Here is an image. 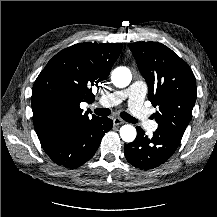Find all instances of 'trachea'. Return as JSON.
Wrapping results in <instances>:
<instances>
[{"mask_svg":"<svg viewBox=\"0 0 217 217\" xmlns=\"http://www.w3.org/2000/svg\"><path fill=\"white\" fill-rule=\"evenodd\" d=\"M94 112L96 115L102 116V117H106V116L110 115V113H111L110 109H108V108H97L94 110ZM121 117L125 121L130 122V123H137L138 122L134 117H132L131 115H129L126 112H122Z\"/></svg>","mask_w":217,"mask_h":217,"instance_id":"1","label":"trachea"}]
</instances>
